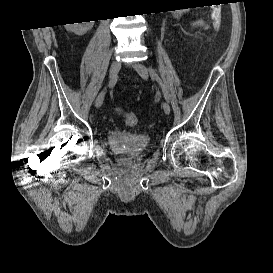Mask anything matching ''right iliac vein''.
<instances>
[{"label":"right iliac vein","instance_id":"63e3f726","mask_svg":"<svg viewBox=\"0 0 273 273\" xmlns=\"http://www.w3.org/2000/svg\"><path fill=\"white\" fill-rule=\"evenodd\" d=\"M120 69H121V63L119 61H114L111 64L110 75H109V85H111V83L115 80ZM105 93H106V90H103L97 96L96 101H95V106L97 108H99L102 105V103L104 101Z\"/></svg>","mask_w":273,"mask_h":273}]
</instances>
